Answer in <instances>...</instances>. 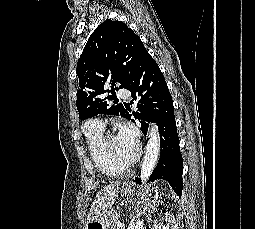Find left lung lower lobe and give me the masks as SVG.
Listing matches in <instances>:
<instances>
[{"mask_svg":"<svg viewBox=\"0 0 255 229\" xmlns=\"http://www.w3.org/2000/svg\"><path fill=\"white\" fill-rule=\"evenodd\" d=\"M125 89L131 92L133 97L131 103L138 100L137 110L133 113L126 110L125 118L131 120V116L134 115L139 120L141 130L145 135L148 122H156L160 131L161 155L149 181L166 180L181 197L183 159L179 147L172 97L159 66L147 50L141 55ZM140 180V178H135L137 182Z\"/></svg>","mask_w":255,"mask_h":229,"instance_id":"0a47b994","label":"left lung lower lobe"}]
</instances>
